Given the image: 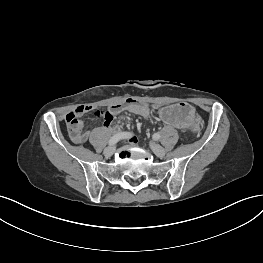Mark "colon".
Returning <instances> with one entry per match:
<instances>
[{
	"label": "colon",
	"instance_id": "1",
	"mask_svg": "<svg viewBox=\"0 0 263 263\" xmlns=\"http://www.w3.org/2000/svg\"><path fill=\"white\" fill-rule=\"evenodd\" d=\"M132 101L138 102L134 99H128L125 101V103ZM95 116L97 118H102L103 120H110L112 118V111L110 109L106 112L96 111ZM65 122L69 136L74 142L81 143L86 139V132L84 130L83 123L74 112H70L67 114L65 118Z\"/></svg>",
	"mask_w": 263,
	"mask_h": 263
}]
</instances>
